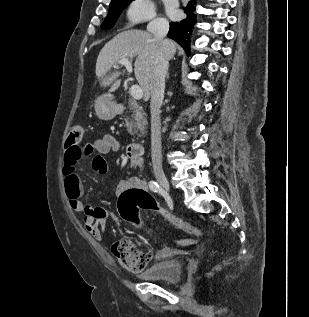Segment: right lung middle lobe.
Listing matches in <instances>:
<instances>
[{"instance_id":"right-lung-middle-lobe-1","label":"right lung middle lobe","mask_w":309,"mask_h":317,"mask_svg":"<svg viewBox=\"0 0 309 317\" xmlns=\"http://www.w3.org/2000/svg\"><path fill=\"white\" fill-rule=\"evenodd\" d=\"M132 1L133 0H112L109 13L104 22L101 24V28L104 30L112 28L122 10L126 8Z\"/></svg>"}]
</instances>
